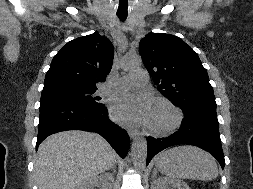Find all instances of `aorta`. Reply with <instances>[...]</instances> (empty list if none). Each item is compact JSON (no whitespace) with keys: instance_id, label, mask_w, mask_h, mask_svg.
<instances>
[{"instance_id":"obj_1","label":"aorta","mask_w":253,"mask_h":189,"mask_svg":"<svg viewBox=\"0 0 253 189\" xmlns=\"http://www.w3.org/2000/svg\"><path fill=\"white\" fill-rule=\"evenodd\" d=\"M141 65V59L138 56L128 58L124 64L126 68H138ZM131 156L133 165L137 169H144L147 159V141L142 136L134 138L131 146Z\"/></svg>"}]
</instances>
